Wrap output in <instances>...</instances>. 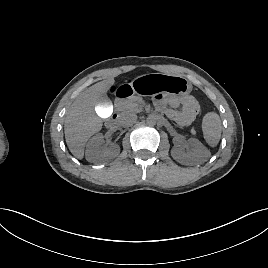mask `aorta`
I'll use <instances>...</instances> for the list:
<instances>
[{
  "mask_svg": "<svg viewBox=\"0 0 268 268\" xmlns=\"http://www.w3.org/2000/svg\"><path fill=\"white\" fill-rule=\"evenodd\" d=\"M146 123L149 126H154L157 123V116L156 115H149L146 119Z\"/></svg>",
  "mask_w": 268,
  "mask_h": 268,
  "instance_id": "obj_1",
  "label": "aorta"
}]
</instances>
